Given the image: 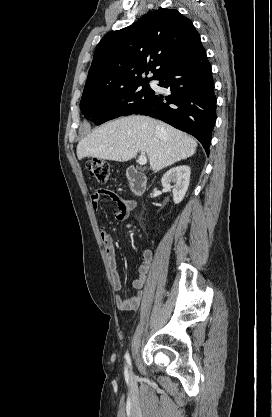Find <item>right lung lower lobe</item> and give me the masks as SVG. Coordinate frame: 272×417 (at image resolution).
<instances>
[{
	"instance_id": "1",
	"label": "right lung lower lobe",
	"mask_w": 272,
	"mask_h": 417,
	"mask_svg": "<svg viewBox=\"0 0 272 417\" xmlns=\"http://www.w3.org/2000/svg\"><path fill=\"white\" fill-rule=\"evenodd\" d=\"M157 80L161 87L170 89V95L155 94L134 114L160 119L195 136L209 154L217 99L211 66L203 46H197L188 58Z\"/></svg>"
}]
</instances>
